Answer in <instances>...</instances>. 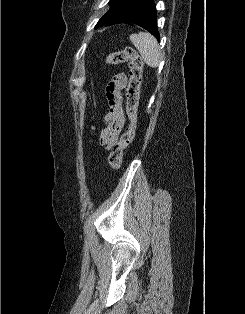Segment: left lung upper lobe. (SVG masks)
Here are the masks:
<instances>
[{"mask_svg": "<svg viewBox=\"0 0 245 314\" xmlns=\"http://www.w3.org/2000/svg\"><path fill=\"white\" fill-rule=\"evenodd\" d=\"M147 0H110V9L96 26L128 23L142 9Z\"/></svg>", "mask_w": 245, "mask_h": 314, "instance_id": "1", "label": "left lung upper lobe"}]
</instances>
